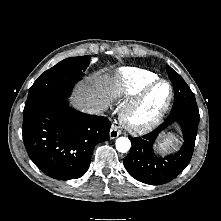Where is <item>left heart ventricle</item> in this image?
Returning a JSON list of instances; mask_svg holds the SVG:
<instances>
[{
	"instance_id": "left-heart-ventricle-1",
	"label": "left heart ventricle",
	"mask_w": 221,
	"mask_h": 221,
	"mask_svg": "<svg viewBox=\"0 0 221 221\" xmlns=\"http://www.w3.org/2000/svg\"><path fill=\"white\" fill-rule=\"evenodd\" d=\"M169 92L168 85L160 84L158 85L155 90L152 92L150 101L143 111L142 115L147 116L150 112H152L156 107L164 102Z\"/></svg>"
}]
</instances>
